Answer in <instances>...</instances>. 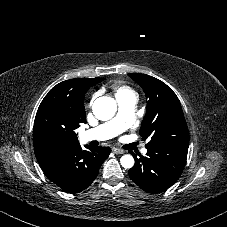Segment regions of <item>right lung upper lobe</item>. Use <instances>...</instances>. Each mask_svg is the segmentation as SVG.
I'll return each instance as SVG.
<instances>
[{"instance_id":"cb5924a9","label":"right lung upper lobe","mask_w":227,"mask_h":227,"mask_svg":"<svg viewBox=\"0 0 227 227\" xmlns=\"http://www.w3.org/2000/svg\"><path fill=\"white\" fill-rule=\"evenodd\" d=\"M99 82L100 78H80L66 80L57 84L41 102L36 116L46 112H66L77 118L81 123H85L84 94L91 86ZM68 149L42 152L34 146L35 155L39 163Z\"/></svg>"}]
</instances>
